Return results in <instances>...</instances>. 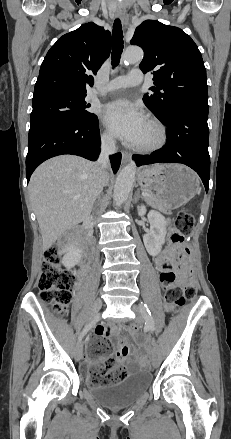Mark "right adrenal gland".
<instances>
[{
	"instance_id": "2a0ac1e0",
	"label": "right adrenal gland",
	"mask_w": 231,
	"mask_h": 439,
	"mask_svg": "<svg viewBox=\"0 0 231 439\" xmlns=\"http://www.w3.org/2000/svg\"><path fill=\"white\" fill-rule=\"evenodd\" d=\"M100 200V196H98V198H97V201H99ZM93 210H94V208H93Z\"/></svg>"
}]
</instances>
